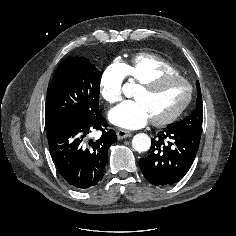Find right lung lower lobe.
Instances as JSON below:
<instances>
[{
	"label": "right lung lower lobe",
	"instance_id": "98d812e1",
	"mask_svg": "<svg viewBox=\"0 0 236 236\" xmlns=\"http://www.w3.org/2000/svg\"><path fill=\"white\" fill-rule=\"evenodd\" d=\"M100 130L99 139L89 140V133ZM52 158L61 176L74 188L90 189L103 177L108 148L117 141L114 130L107 129L98 111L91 117L75 118L47 129Z\"/></svg>",
	"mask_w": 236,
	"mask_h": 236
}]
</instances>
